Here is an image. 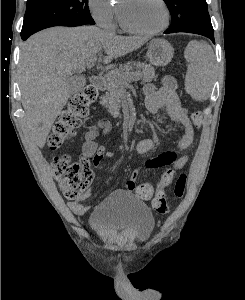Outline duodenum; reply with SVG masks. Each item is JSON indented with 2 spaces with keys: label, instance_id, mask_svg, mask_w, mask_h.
Returning a JSON list of instances; mask_svg holds the SVG:
<instances>
[{
  "label": "duodenum",
  "instance_id": "1",
  "mask_svg": "<svg viewBox=\"0 0 245 300\" xmlns=\"http://www.w3.org/2000/svg\"><path fill=\"white\" fill-rule=\"evenodd\" d=\"M91 85L97 90L102 91L105 88V81L102 76L94 75L91 77Z\"/></svg>",
  "mask_w": 245,
  "mask_h": 300
}]
</instances>
